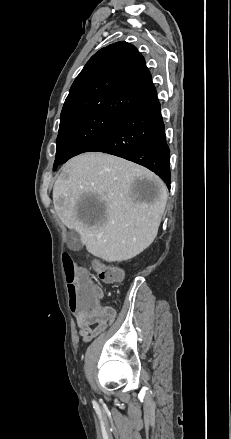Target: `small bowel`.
Returning <instances> with one entry per match:
<instances>
[{
  "instance_id": "c3829d8e",
  "label": "small bowel",
  "mask_w": 231,
  "mask_h": 439,
  "mask_svg": "<svg viewBox=\"0 0 231 439\" xmlns=\"http://www.w3.org/2000/svg\"><path fill=\"white\" fill-rule=\"evenodd\" d=\"M101 296L102 291L99 295V309L91 308L87 310L94 312L95 316L93 320H86L84 316L85 313H73L79 328V334L85 342L97 336L107 326V324L113 322L115 319V310L111 307L102 305L100 302Z\"/></svg>"
}]
</instances>
